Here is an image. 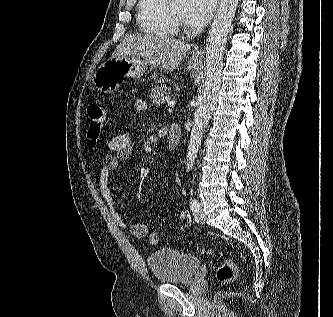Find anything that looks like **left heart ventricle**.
I'll list each match as a JSON object with an SVG mask.
<instances>
[{
  "mask_svg": "<svg viewBox=\"0 0 333 317\" xmlns=\"http://www.w3.org/2000/svg\"><path fill=\"white\" fill-rule=\"evenodd\" d=\"M186 0H173L172 7L176 16L184 23H188L185 17Z\"/></svg>",
  "mask_w": 333,
  "mask_h": 317,
  "instance_id": "left-heart-ventricle-1",
  "label": "left heart ventricle"
}]
</instances>
